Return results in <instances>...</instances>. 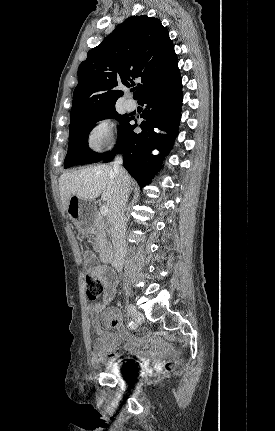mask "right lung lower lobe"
<instances>
[{"mask_svg":"<svg viewBox=\"0 0 275 431\" xmlns=\"http://www.w3.org/2000/svg\"><path fill=\"white\" fill-rule=\"evenodd\" d=\"M182 79L177 69L165 82L143 95L138 103L146 108L141 114V133H135L131 121L113 149L101 160L109 162L116 153L123 154V165L140 187L150 183L159 168V160L167 154L177 136L182 106ZM136 121V120H135ZM154 128L166 131L158 134ZM158 149L161 154L154 156L151 151ZM100 160V161H101Z\"/></svg>","mask_w":275,"mask_h":431,"instance_id":"98d812e1","label":"right lung lower lobe"}]
</instances>
